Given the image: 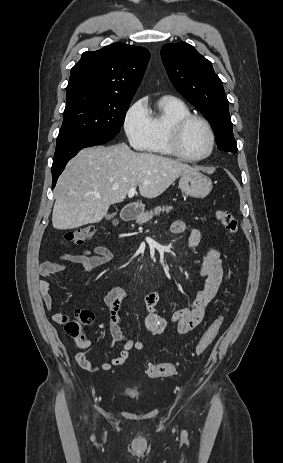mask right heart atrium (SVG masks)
Wrapping results in <instances>:
<instances>
[{"instance_id":"d8ad5b80","label":"right heart atrium","mask_w":283,"mask_h":463,"mask_svg":"<svg viewBox=\"0 0 283 463\" xmlns=\"http://www.w3.org/2000/svg\"><path fill=\"white\" fill-rule=\"evenodd\" d=\"M123 128L129 144L134 149H144L149 137V114L144 100L135 101L127 109Z\"/></svg>"}]
</instances>
